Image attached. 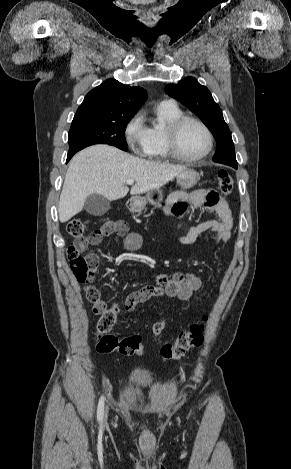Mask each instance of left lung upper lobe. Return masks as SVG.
I'll return each mask as SVG.
<instances>
[{
	"instance_id": "5c2ea615",
	"label": "left lung upper lobe",
	"mask_w": 291,
	"mask_h": 469,
	"mask_svg": "<svg viewBox=\"0 0 291 469\" xmlns=\"http://www.w3.org/2000/svg\"><path fill=\"white\" fill-rule=\"evenodd\" d=\"M165 91L193 111L214 135L217 150L213 161L236 168L237 161L229 127L208 88L199 84L195 78L186 77L178 84L167 85Z\"/></svg>"
}]
</instances>
